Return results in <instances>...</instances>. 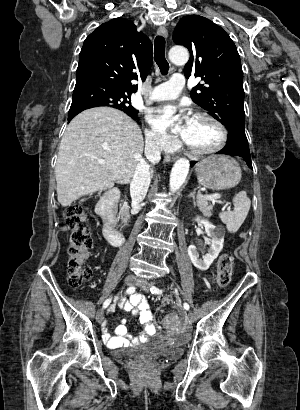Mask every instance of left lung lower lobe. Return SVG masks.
I'll return each mask as SVG.
<instances>
[{"label": "left lung lower lobe", "instance_id": "0a47b994", "mask_svg": "<svg viewBox=\"0 0 300 410\" xmlns=\"http://www.w3.org/2000/svg\"><path fill=\"white\" fill-rule=\"evenodd\" d=\"M217 154H227L231 156L243 157L247 165L252 168L250 151L245 132L240 130H229L226 146ZM195 162H191L193 166Z\"/></svg>", "mask_w": 300, "mask_h": 410}]
</instances>
